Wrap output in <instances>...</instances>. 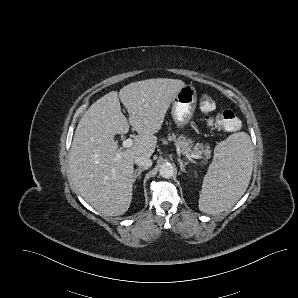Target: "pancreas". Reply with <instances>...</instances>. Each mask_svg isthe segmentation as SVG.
Returning <instances> with one entry per match:
<instances>
[{"mask_svg": "<svg viewBox=\"0 0 298 298\" xmlns=\"http://www.w3.org/2000/svg\"><path fill=\"white\" fill-rule=\"evenodd\" d=\"M159 140L162 143H164L165 140L173 141L176 146L180 147L183 153L190 152L202 156V165H207L212 156L210 146L207 142H197L195 138H192L185 133L178 134L177 131L167 132L166 139L159 137Z\"/></svg>", "mask_w": 298, "mask_h": 298, "instance_id": "obj_1", "label": "pancreas"}]
</instances>
